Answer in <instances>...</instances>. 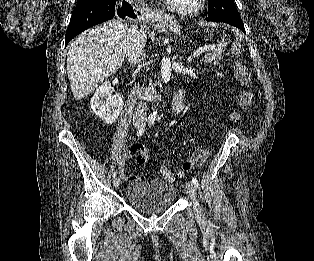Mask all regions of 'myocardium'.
I'll use <instances>...</instances> for the list:
<instances>
[{"mask_svg":"<svg viewBox=\"0 0 314 261\" xmlns=\"http://www.w3.org/2000/svg\"><path fill=\"white\" fill-rule=\"evenodd\" d=\"M166 3H167V6L171 10H173L179 14L192 15V14H196V13L200 12L202 9H204V7L207 4V0H196L192 5H189V6H182V5L176 4L173 1H166Z\"/></svg>","mask_w":314,"mask_h":261,"instance_id":"myocardium-1","label":"myocardium"}]
</instances>
